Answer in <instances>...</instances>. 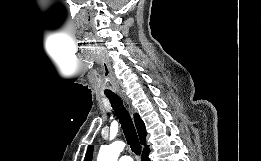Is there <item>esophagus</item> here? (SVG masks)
<instances>
[{
    "mask_svg": "<svg viewBox=\"0 0 261 161\" xmlns=\"http://www.w3.org/2000/svg\"><path fill=\"white\" fill-rule=\"evenodd\" d=\"M123 98H124V100L126 101V103L129 105L128 99H127L126 97H124V96H123Z\"/></svg>",
    "mask_w": 261,
    "mask_h": 161,
    "instance_id": "esophagus-1",
    "label": "esophagus"
}]
</instances>
